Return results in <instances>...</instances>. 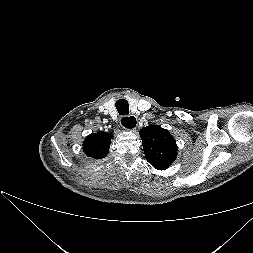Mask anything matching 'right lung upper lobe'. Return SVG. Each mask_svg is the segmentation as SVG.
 I'll return each instance as SVG.
<instances>
[{"instance_id":"cb5924a9","label":"right lung upper lobe","mask_w":253,"mask_h":253,"mask_svg":"<svg viewBox=\"0 0 253 253\" xmlns=\"http://www.w3.org/2000/svg\"><path fill=\"white\" fill-rule=\"evenodd\" d=\"M111 138L112 135L105 132L88 135L83 143L85 154L94 159L106 157L109 152Z\"/></svg>"}]
</instances>
